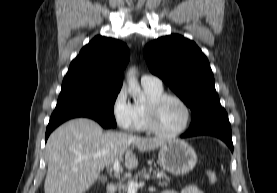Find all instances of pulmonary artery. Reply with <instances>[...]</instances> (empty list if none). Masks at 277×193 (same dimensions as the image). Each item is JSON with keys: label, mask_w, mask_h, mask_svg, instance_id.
I'll return each mask as SVG.
<instances>
[{"label": "pulmonary artery", "mask_w": 277, "mask_h": 193, "mask_svg": "<svg viewBox=\"0 0 277 193\" xmlns=\"http://www.w3.org/2000/svg\"><path fill=\"white\" fill-rule=\"evenodd\" d=\"M141 84L143 87L162 89V81L160 78L154 75H143L141 78Z\"/></svg>", "instance_id": "1"}]
</instances>
